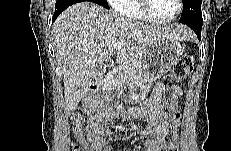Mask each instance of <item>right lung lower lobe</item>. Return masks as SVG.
<instances>
[{"label": "right lung lower lobe", "instance_id": "1", "mask_svg": "<svg viewBox=\"0 0 231 151\" xmlns=\"http://www.w3.org/2000/svg\"><path fill=\"white\" fill-rule=\"evenodd\" d=\"M78 2H81V1L80 0H57L52 22H54L55 19L60 15V13H62V11H64L67 7L71 6L72 4L78 3ZM91 2L95 3L94 0H92Z\"/></svg>", "mask_w": 231, "mask_h": 151}]
</instances>
